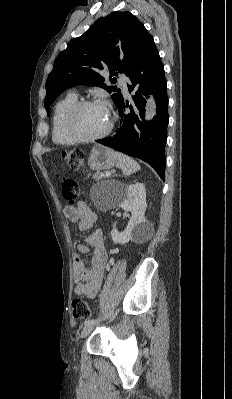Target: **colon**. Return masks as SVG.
I'll return each mask as SVG.
<instances>
[{
	"instance_id": "5ec220e1",
	"label": "colon",
	"mask_w": 232,
	"mask_h": 399,
	"mask_svg": "<svg viewBox=\"0 0 232 399\" xmlns=\"http://www.w3.org/2000/svg\"><path fill=\"white\" fill-rule=\"evenodd\" d=\"M66 168H81L82 164H86V151H79L78 149H68L65 153ZM66 185H73L76 179L75 175L64 176ZM82 194V189L79 186H63L59 189V194ZM64 203H76V198H64ZM71 301H81L71 306V319L82 320L86 316V320H91L92 317H97V306H92L91 301L87 300L85 296H71Z\"/></svg>"
}]
</instances>
